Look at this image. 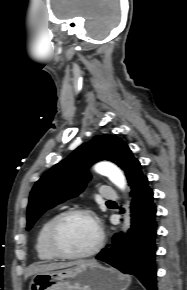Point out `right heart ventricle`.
I'll use <instances>...</instances> for the list:
<instances>
[{"instance_id": "right-heart-ventricle-1", "label": "right heart ventricle", "mask_w": 187, "mask_h": 290, "mask_svg": "<svg viewBox=\"0 0 187 290\" xmlns=\"http://www.w3.org/2000/svg\"><path fill=\"white\" fill-rule=\"evenodd\" d=\"M55 217L56 216H52L48 218L42 224L37 234L35 250H36L38 258L42 261H54L57 259V257L50 251L47 244V232H48L51 222L53 221Z\"/></svg>"}]
</instances>
